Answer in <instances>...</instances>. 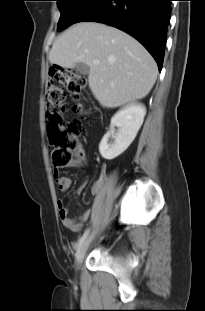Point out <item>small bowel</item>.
Wrapping results in <instances>:
<instances>
[{
	"instance_id": "obj_1",
	"label": "small bowel",
	"mask_w": 205,
	"mask_h": 311,
	"mask_svg": "<svg viewBox=\"0 0 205 311\" xmlns=\"http://www.w3.org/2000/svg\"><path fill=\"white\" fill-rule=\"evenodd\" d=\"M87 161V154L83 146H79L73 153V158L67 164V167L71 168H81L85 165ZM54 175L57 177V185L61 192L66 193L69 191L71 186V179L66 176H59V171L54 170ZM103 183V174L100 176L98 181L92 187V194H97L101 184ZM83 187L79 189L82 190ZM58 212L61 222L65 228L72 232H78L82 229L85 222L89 219L91 215V209H87L81 216L72 218L69 215V209L64 200L59 199L57 201Z\"/></svg>"
}]
</instances>
